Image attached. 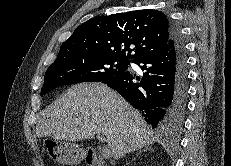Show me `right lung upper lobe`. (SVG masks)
Wrapping results in <instances>:
<instances>
[{"instance_id":"1","label":"right lung upper lobe","mask_w":231,"mask_h":166,"mask_svg":"<svg viewBox=\"0 0 231 166\" xmlns=\"http://www.w3.org/2000/svg\"><path fill=\"white\" fill-rule=\"evenodd\" d=\"M170 40L171 21L161 11L99 16L78 26L61 45L57 58L98 53L135 61L162 50Z\"/></svg>"}]
</instances>
